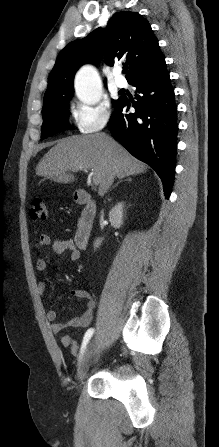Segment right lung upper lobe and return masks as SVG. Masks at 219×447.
I'll list each match as a JSON object with an SVG mask.
<instances>
[{
    "instance_id": "cb5924a9",
    "label": "right lung upper lobe",
    "mask_w": 219,
    "mask_h": 447,
    "mask_svg": "<svg viewBox=\"0 0 219 447\" xmlns=\"http://www.w3.org/2000/svg\"><path fill=\"white\" fill-rule=\"evenodd\" d=\"M100 47L109 65L122 61L129 66L126 75L129 84L165 60L149 22L137 12H118L105 30L97 28L62 49L50 73L44 99L73 95L76 71L85 63L95 62Z\"/></svg>"
}]
</instances>
